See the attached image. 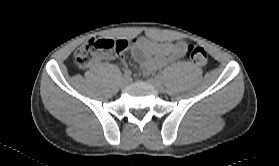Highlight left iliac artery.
<instances>
[{"mask_svg": "<svg viewBox=\"0 0 279 166\" xmlns=\"http://www.w3.org/2000/svg\"><path fill=\"white\" fill-rule=\"evenodd\" d=\"M156 77L159 78V79L163 78L162 74H158Z\"/></svg>", "mask_w": 279, "mask_h": 166, "instance_id": "left-iliac-artery-1", "label": "left iliac artery"}]
</instances>
